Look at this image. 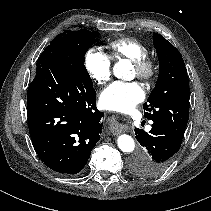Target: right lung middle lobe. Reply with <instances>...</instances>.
<instances>
[{
  "label": "right lung middle lobe",
  "mask_w": 211,
  "mask_h": 211,
  "mask_svg": "<svg viewBox=\"0 0 211 211\" xmlns=\"http://www.w3.org/2000/svg\"><path fill=\"white\" fill-rule=\"evenodd\" d=\"M99 32H91L86 29L78 31H65L48 45L41 56L52 55L56 61L72 72L77 78L93 85L90 75L84 65L85 53L93 44L94 38L98 37Z\"/></svg>",
  "instance_id": "obj_1"
}]
</instances>
